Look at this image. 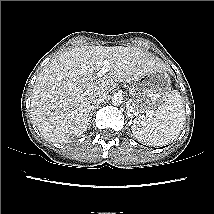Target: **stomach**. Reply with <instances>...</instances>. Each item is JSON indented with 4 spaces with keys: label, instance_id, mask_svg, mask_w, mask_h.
I'll list each match as a JSON object with an SVG mask.
<instances>
[{
    "label": "stomach",
    "instance_id": "1",
    "mask_svg": "<svg viewBox=\"0 0 214 214\" xmlns=\"http://www.w3.org/2000/svg\"><path fill=\"white\" fill-rule=\"evenodd\" d=\"M132 99L129 112L153 114L171 93V80L165 67L153 70L130 86Z\"/></svg>",
    "mask_w": 214,
    "mask_h": 214
}]
</instances>
